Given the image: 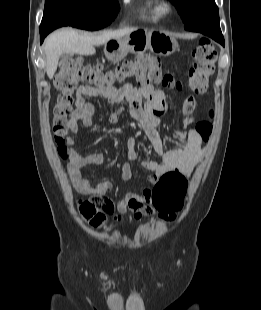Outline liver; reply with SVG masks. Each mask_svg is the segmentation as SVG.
<instances>
[{"mask_svg":"<svg viewBox=\"0 0 261 310\" xmlns=\"http://www.w3.org/2000/svg\"><path fill=\"white\" fill-rule=\"evenodd\" d=\"M137 28H124L116 31H106L100 35L79 33L74 29H62L50 34L44 45L46 54V73L52 79L62 54L93 55L96 53L95 45L106 44L112 39H121Z\"/></svg>","mask_w":261,"mask_h":310,"instance_id":"obj_1","label":"liver"}]
</instances>
